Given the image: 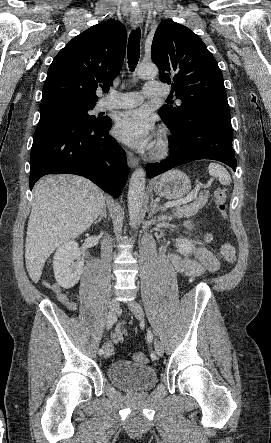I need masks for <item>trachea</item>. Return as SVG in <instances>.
<instances>
[{"instance_id":"obj_1","label":"trachea","mask_w":271,"mask_h":443,"mask_svg":"<svg viewBox=\"0 0 271 443\" xmlns=\"http://www.w3.org/2000/svg\"><path fill=\"white\" fill-rule=\"evenodd\" d=\"M140 38L141 31L140 28L133 30L130 34L128 40V64L130 71H134L140 57ZM167 102L172 101L171 99H166Z\"/></svg>"}]
</instances>
